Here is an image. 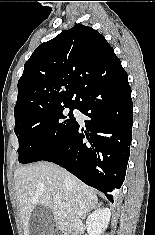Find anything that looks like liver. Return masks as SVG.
Masks as SVG:
<instances>
[{
	"mask_svg": "<svg viewBox=\"0 0 155 235\" xmlns=\"http://www.w3.org/2000/svg\"><path fill=\"white\" fill-rule=\"evenodd\" d=\"M14 183L24 235H30V216L38 205L51 208L55 223L61 226L72 225L98 205L92 188L53 163L19 167L14 172Z\"/></svg>",
	"mask_w": 155,
	"mask_h": 235,
	"instance_id": "6515ba94",
	"label": "liver"
}]
</instances>
